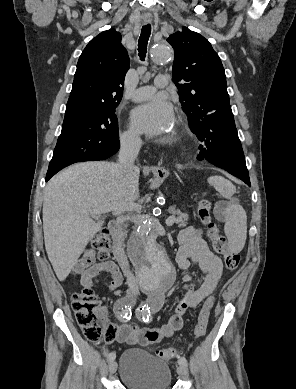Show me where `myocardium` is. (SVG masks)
<instances>
[{
    "label": "myocardium",
    "mask_w": 296,
    "mask_h": 389,
    "mask_svg": "<svg viewBox=\"0 0 296 389\" xmlns=\"http://www.w3.org/2000/svg\"><path fill=\"white\" fill-rule=\"evenodd\" d=\"M176 134H177L176 128L173 127V129H172L171 132L167 135V137L165 138V140H166V141H171V140H173V139L176 137Z\"/></svg>",
    "instance_id": "myocardium-1"
}]
</instances>
